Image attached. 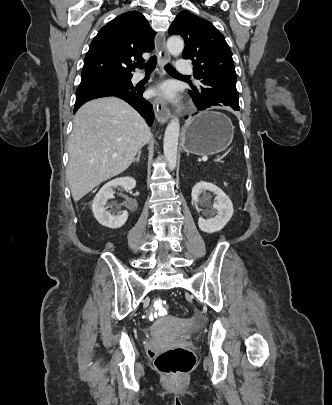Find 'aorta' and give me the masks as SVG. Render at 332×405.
Masks as SVG:
<instances>
[{
    "mask_svg": "<svg viewBox=\"0 0 332 405\" xmlns=\"http://www.w3.org/2000/svg\"><path fill=\"white\" fill-rule=\"evenodd\" d=\"M167 49L173 56H178L184 49V42L180 37H170L167 41ZM179 132V119L174 117L166 127L163 141L164 158L166 160L168 169L171 171L176 168L177 164Z\"/></svg>",
    "mask_w": 332,
    "mask_h": 405,
    "instance_id": "1",
    "label": "aorta"
}]
</instances>
